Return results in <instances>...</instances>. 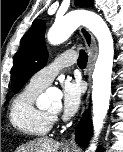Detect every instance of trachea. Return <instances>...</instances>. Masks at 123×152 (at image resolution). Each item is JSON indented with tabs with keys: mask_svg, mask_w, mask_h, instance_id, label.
I'll list each match as a JSON object with an SVG mask.
<instances>
[{
	"mask_svg": "<svg viewBox=\"0 0 123 152\" xmlns=\"http://www.w3.org/2000/svg\"><path fill=\"white\" fill-rule=\"evenodd\" d=\"M87 60H88V57H87L86 53L81 51L79 58H78V66L81 68L85 67Z\"/></svg>",
	"mask_w": 123,
	"mask_h": 152,
	"instance_id": "1",
	"label": "trachea"
}]
</instances>
